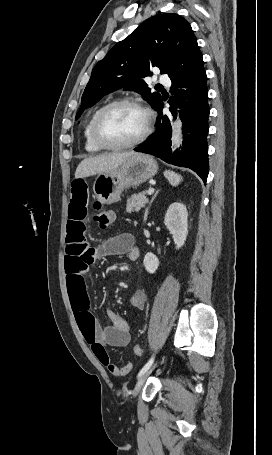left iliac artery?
Here are the masks:
<instances>
[{
	"label": "left iliac artery",
	"instance_id": "left-iliac-artery-1",
	"mask_svg": "<svg viewBox=\"0 0 272 455\" xmlns=\"http://www.w3.org/2000/svg\"><path fill=\"white\" fill-rule=\"evenodd\" d=\"M153 361H154V357H151V359L143 366V368L138 373V377L143 375L150 368V366L152 365Z\"/></svg>",
	"mask_w": 272,
	"mask_h": 455
}]
</instances>
